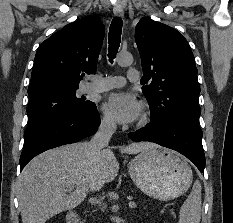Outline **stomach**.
<instances>
[{
  "label": "stomach",
  "mask_w": 233,
  "mask_h": 223,
  "mask_svg": "<svg viewBox=\"0 0 233 223\" xmlns=\"http://www.w3.org/2000/svg\"><path fill=\"white\" fill-rule=\"evenodd\" d=\"M128 171L135 185L153 199H175L189 189L192 169L183 155L165 147H149L129 161Z\"/></svg>",
  "instance_id": "obj_1"
}]
</instances>
